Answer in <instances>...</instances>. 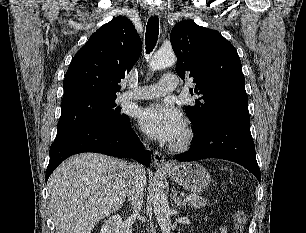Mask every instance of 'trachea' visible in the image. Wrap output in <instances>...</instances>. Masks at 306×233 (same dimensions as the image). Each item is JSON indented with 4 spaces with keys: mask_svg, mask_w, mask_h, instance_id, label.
Listing matches in <instances>:
<instances>
[{
    "mask_svg": "<svg viewBox=\"0 0 306 233\" xmlns=\"http://www.w3.org/2000/svg\"><path fill=\"white\" fill-rule=\"evenodd\" d=\"M159 35V19L156 16L149 18L146 26L145 44L146 53L149 54L155 47Z\"/></svg>",
    "mask_w": 306,
    "mask_h": 233,
    "instance_id": "obj_1",
    "label": "trachea"
}]
</instances>
